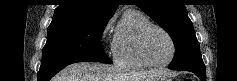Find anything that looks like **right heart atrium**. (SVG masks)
Here are the masks:
<instances>
[{
  "label": "right heart atrium",
  "instance_id": "d8ad5b80",
  "mask_svg": "<svg viewBox=\"0 0 237 81\" xmlns=\"http://www.w3.org/2000/svg\"><path fill=\"white\" fill-rule=\"evenodd\" d=\"M113 22H114V19H113V17H111L105 23V25H104V27L101 31V35H100V39H101L102 42H104L107 39V36H108L109 32L111 31V28L113 26Z\"/></svg>",
  "mask_w": 237,
  "mask_h": 81
}]
</instances>
